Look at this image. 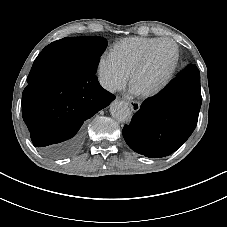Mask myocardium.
<instances>
[{"mask_svg":"<svg viewBox=\"0 0 227 227\" xmlns=\"http://www.w3.org/2000/svg\"><path fill=\"white\" fill-rule=\"evenodd\" d=\"M163 42H169L175 46V49H176L175 58L171 64V66L169 67L166 75L164 76V78L161 80V82L158 85H156L151 90H148L145 92H137L142 97L148 98V97H154V96H157L158 94H160L171 82V80L177 70V67L179 65V62L181 59V52H180V47H179L178 43L175 40L168 38V37L160 38L146 49V51L143 54V56L141 57V59L134 65V67L130 71L129 85L133 88V81H134L135 76L146 67L154 49Z\"/></svg>","mask_w":227,"mask_h":227,"instance_id":"f54148a6","label":"myocardium"}]
</instances>
